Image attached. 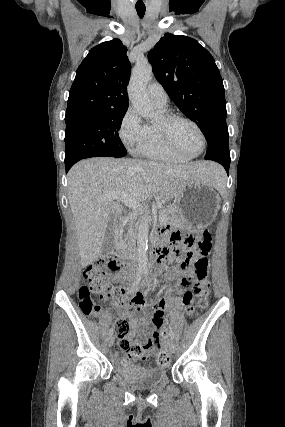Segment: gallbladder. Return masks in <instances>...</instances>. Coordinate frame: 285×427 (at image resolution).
I'll use <instances>...</instances> for the list:
<instances>
[{
    "label": "gallbladder",
    "mask_w": 285,
    "mask_h": 427,
    "mask_svg": "<svg viewBox=\"0 0 285 427\" xmlns=\"http://www.w3.org/2000/svg\"><path fill=\"white\" fill-rule=\"evenodd\" d=\"M114 246V216L111 214L109 217L108 226L105 232V237L102 245L104 252H109Z\"/></svg>",
    "instance_id": "bac80fb5"
}]
</instances>
